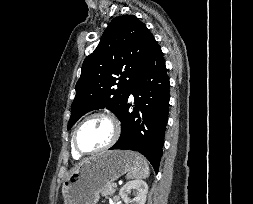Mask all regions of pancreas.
<instances>
[{
  "label": "pancreas",
  "mask_w": 253,
  "mask_h": 204,
  "mask_svg": "<svg viewBox=\"0 0 253 204\" xmlns=\"http://www.w3.org/2000/svg\"><path fill=\"white\" fill-rule=\"evenodd\" d=\"M115 189L112 184L107 185L102 191L101 194L105 197L113 195Z\"/></svg>",
  "instance_id": "pancreas-1"
}]
</instances>
